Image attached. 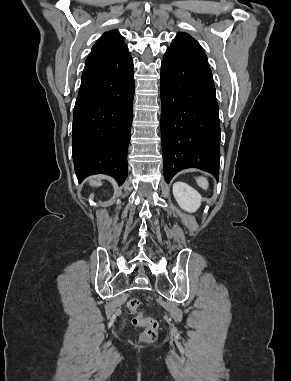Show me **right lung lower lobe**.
<instances>
[{
  "mask_svg": "<svg viewBox=\"0 0 291 381\" xmlns=\"http://www.w3.org/2000/svg\"><path fill=\"white\" fill-rule=\"evenodd\" d=\"M134 83L128 50L86 59L72 129L79 182L99 173L114 177L119 185L125 181Z\"/></svg>",
  "mask_w": 291,
  "mask_h": 381,
  "instance_id": "1",
  "label": "right lung lower lobe"
}]
</instances>
